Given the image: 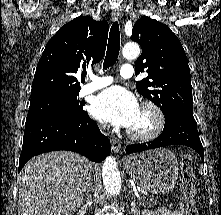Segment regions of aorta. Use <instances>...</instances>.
<instances>
[{"mask_svg":"<svg viewBox=\"0 0 221 215\" xmlns=\"http://www.w3.org/2000/svg\"><path fill=\"white\" fill-rule=\"evenodd\" d=\"M122 54L128 60L136 59L140 55V47L137 43H127L122 49ZM102 179L108 193L113 196L120 193L121 176L113 156H108L103 163Z\"/></svg>","mask_w":221,"mask_h":215,"instance_id":"obj_1","label":"aorta"}]
</instances>
